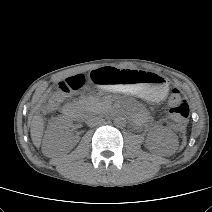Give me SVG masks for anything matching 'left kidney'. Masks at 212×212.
I'll use <instances>...</instances> for the list:
<instances>
[{
    "label": "left kidney",
    "instance_id": "1",
    "mask_svg": "<svg viewBox=\"0 0 212 212\" xmlns=\"http://www.w3.org/2000/svg\"><path fill=\"white\" fill-rule=\"evenodd\" d=\"M178 146L177 136L169 129H161L147 140L149 150L169 156L175 153Z\"/></svg>",
    "mask_w": 212,
    "mask_h": 212
}]
</instances>
